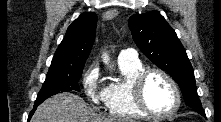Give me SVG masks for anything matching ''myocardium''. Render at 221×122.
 Listing matches in <instances>:
<instances>
[{
	"instance_id": "myocardium-1",
	"label": "myocardium",
	"mask_w": 221,
	"mask_h": 122,
	"mask_svg": "<svg viewBox=\"0 0 221 122\" xmlns=\"http://www.w3.org/2000/svg\"><path fill=\"white\" fill-rule=\"evenodd\" d=\"M158 74L162 76L172 87L175 96V104L173 108L165 113H158L152 110L147 104L144 96V87L148 78L153 75ZM132 96L136 106L146 115L154 118H167L174 115L181 106V93L179 87L174 80V78L168 74L166 71L159 68H149L141 71L132 82Z\"/></svg>"
}]
</instances>
